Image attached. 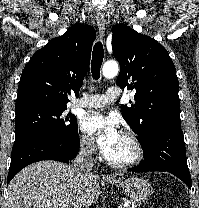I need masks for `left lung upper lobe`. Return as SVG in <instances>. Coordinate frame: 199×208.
Segmentation results:
<instances>
[{"label": "left lung upper lobe", "mask_w": 199, "mask_h": 208, "mask_svg": "<svg viewBox=\"0 0 199 208\" xmlns=\"http://www.w3.org/2000/svg\"><path fill=\"white\" fill-rule=\"evenodd\" d=\"M112 32L113 54L121 67L116 83L136 91L135 102L122 105V115L143 145L155 128L180 123L176 69L167 50L149 36L123 23Z\"/></svg>", "instance_id": "left-lung-upper-lobe-1"}]
</instances>
